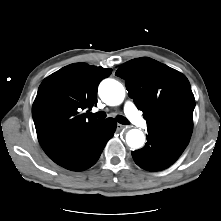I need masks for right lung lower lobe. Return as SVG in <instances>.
Instances as JSON below:
<instances>
[{"label": "right lung lower lobe", "instance_id": "right-lung-lower-lobe-1", "mask_svg": "<svg viewBox=\"0 0 221 221\" xmlns=\"http://www.w3.org/2000/svg\"><path fill=\"white\" fill-rule=\"evenodd\" d=\"M115 129L116 121L113 118L101 120L77 135L50 158L68 170H86L99 159Z\"/></svg>", "mask_w": 221, "mask_h": 221}]
</instances>
